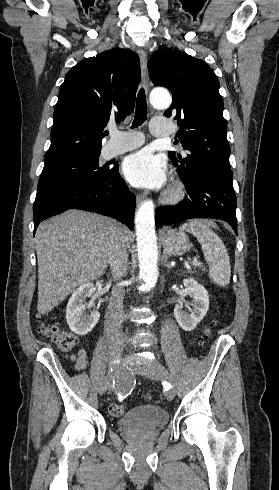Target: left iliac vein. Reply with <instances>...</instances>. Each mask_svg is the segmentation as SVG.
Returning <instances> with one entry per match:
<instances>
[{
  "label": "left iliac vein",
  "mask_w": 279,
  "mask_h": 490,
  "mask_svg": "<svg viewBox=\"0 0 279 490\" xmlns=\"http://www.w3.org/2000/svg\"><path fill=\"white\" fill-rule=\"evenodd\" d=\"M146 364H148V372H150L153 375L159 376L162 379H166L170 382H173V378L171 374L167 371L164 365H162L157 358H151V359H146L144 361ZM175 396V391L173 388L167 391L166 393V398L167 400L171 401L173 400Z\"/></svg>",
  "instance_id": "left-iliac-vein-1"
}]
</instances>
